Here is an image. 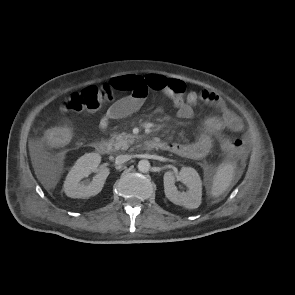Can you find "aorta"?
Segmentation results:
<instances>
[{
    "label": "aorta",
    "instance_id": "aorta-1",
    "mask_svg": "<svg viewBox=\"0 0 295 295\" xmlns=\"http://www.w3.org/2000/svg\"><path fill=\"white\" fill-rule=\"evenodd\" d=\"M150 162L148 160H140L138 163V170L142 173H146L150 170Z\"/></svg>",
    "mask_w": 295,
    "mask_h": 295
}]
</instances>
